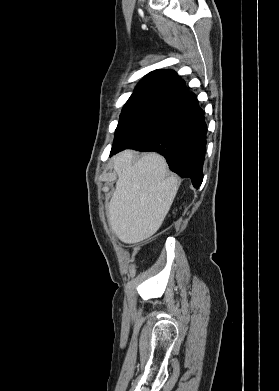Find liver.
<instances>
[{
  "mask_svg": "<svg viewBox=\"0 0 279 391\" xmlns=\"http://www.w3.org/2000/svg\"><path fill=\"white\" fill-rule=\"evenodd\" d=\"M113 168L118 179L107 210L109 225L122 242L139 243L162 225L178 179L168 172L164 157L154 152L135 161L134 151L125 150L114 157Z\"/></svg>",
  "mask_w": 279,
  "mask_h": 391,
  "instance_id": "6515ba94",
  "label": "liver"
}]
</instances>
